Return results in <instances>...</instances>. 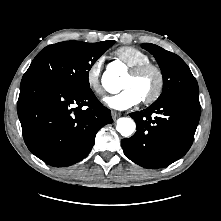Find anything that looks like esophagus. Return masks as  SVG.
Here are the masks:
<instances>
[{
  "label": "esophagus",
  "mask_w": 221,
  "mask_h": 221,
  "mask_svg": "<svg viewBox=\"0 0 221 221\" xmlns=\"http://www.w3.org/2000/svg\"><path fill=\"white\" fill-rule=\"evenodd\" d=\"M111 115H112V118L114 120L118 119L120 116H121V113L120 112H117V111H112L111 112Z\"/></svg>",
  "instance_id": "34e87169"
}]
</instances>
